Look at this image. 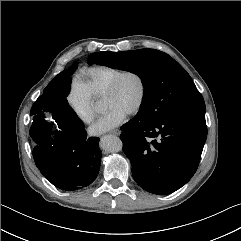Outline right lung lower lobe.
I'll return each mask as SVG.
<instances>
[{
	"instance_id": "1",
	"label": "right lung lower lobe",
	"mask_w": 241,
	"mask_h": 241,
	"mask_svg": "<svg viewBox=\"0 0 241 241\" xmlns=\"http://www.w3.org/2000/svg\"><path fill=\"white\" fill-rule=\"evenodd\" d=\"M54 133V137L47 134L35 141L33 157L40 172L62 190L90 185L100 169L99 138H88L84 128L65 127Z\"/></svg>"
}]
</instances>
